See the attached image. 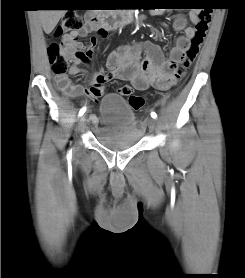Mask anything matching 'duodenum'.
<instances>
[{
	"instance_id": "duodenum-1",
	"label": "duodenum",
	"mask_w": 245,
	"mask_h": 278,
	"mask_svg": "<svg viewBox=\"0 0 245 278\" xmlns=\"http://www.w3.org/2000/svg\"><path fill=\"white\" fill-rule=\"evenodd\" d=\"M95 26L97 28H103L106 31H111L123 24L135 23V17L132 13V10H126L122 14L117 13L115 15L112 14H103L97 16L95 19ZM85 94L83 90H76L71 93V97H78Z\"/></svg>"
}]
</instances>
